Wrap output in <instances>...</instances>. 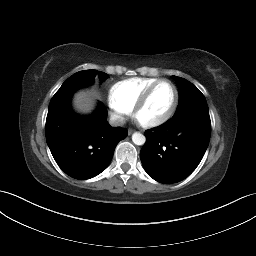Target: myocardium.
<instances>
[{
  "label": "myocardium",
  "instance_id": "obj_1",
  "mask_svg": "<svg viewBox=\"0 0 256 256\" xmlns=\"http://www.w3.org/2000/svg\"><path fill=\"white\" fill-rule=\"evenodd\" d=\"M162 83L170 84L173 88V91H174V97H173V101H172V104H171L170 108L167 110V112L165 114H163L159 118L148 120V121L141 120L139 118V114H140L141 110L147 104V102H148L149 98L151 97L153 91ZM178 101H179V92H178V89H177L176 85L168 79H159L155 83L151 84L143 92V94L140 96V98L137 100V102H136V104L134 105V108H133V116L136 119V121L143 127H146V128L157 127V126L167 122L173 116V114L176 111Z\"/></svg>",
  "mask_w": 256,
  "mask_h": 256
}]
</instances>
